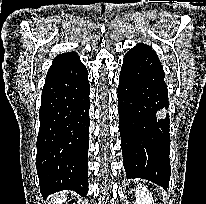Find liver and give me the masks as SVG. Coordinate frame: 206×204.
I'll list each match as a JSON object with an SVG mask.
<instances>
[{
  "label": "liver",
  "mask_w": 206,
  "mask_h": 204,
  "mask_svg": "<svg viewBox=\"0 0 206 204\" xmlns=\"http://www.w3.org/2000/svg\"><path fill=\"white\" fill-rule=\"evenodd\" d=\"M57 200L53 204H62L67 199V192L63 191L57 195Z\"/></svg>",
  "instance_id": "6515ba94"
}]
</instances>
